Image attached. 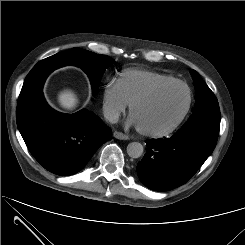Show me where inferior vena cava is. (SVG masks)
I'll return each instance as SVG.
<instances>
[{"label":"inferior vena cava","instance_id":"inferior-vena-cava-1","mask_svg":"<svg viewBox=\"0 0 245 245\" xmlns=\"http://www.w3.org/2000/svg\"><path fill=\"white\" fill-rule=\"evenodd\" d=\"M104 117L110 123H117L118 119H119V113L117 111H114V110L105 111Z\"/></svg>","mask_w":245,"mask_h":245}]
</instances>
